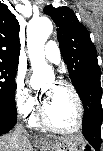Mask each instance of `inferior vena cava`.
I'll list each match as a JSON object with an SVG mask.
<instances>
[{
    "instance_id": "obj_1",
    "label": "inferior vena cava",
    "mask_w": 103,
    "mask_h": 151,
    "mask_svg": "<svg viewBox=\"0 0 103 151\" xmlns=\"http://www.w3.org/2000/svg\"><path fill=\"white\" fill-rule=\"evenodd\" d=\"M15 133H22V131H21V125L17 126Z\"/></svg>"
}]
</instances>
